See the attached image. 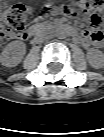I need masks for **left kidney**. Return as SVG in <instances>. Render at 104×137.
Masks as SVG:
<instances>
[{
	"label": "left kidney",
	"instance_id": "obj_1",
	"mask_svg": "<svg viewBox=\"0 0 104 137\" xmlns=\"http://www.w3.org/2000/svg\"><path fill=\"white\" fill-rule=\"evenodd\" d=\"M89 63L95 68H101L103 66V55L97 50H90L88 52Z\"/></svg>",
	"mask_w": 104,
	"mask_h": 137
}]
</instances>
